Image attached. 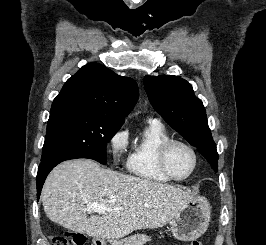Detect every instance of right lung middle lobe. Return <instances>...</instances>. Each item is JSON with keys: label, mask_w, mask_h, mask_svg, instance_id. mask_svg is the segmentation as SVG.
I'll return each mask as SVG.
<instances>
[{"label": "right lung middle lobe", "mask_w": 266, "mask_h": 245, "mask_svg": "<svg viewBox=\"0 0 266 245\" xmlns=\"http://www.w3.org/2000/svg\"><path fill=\"white\" fill-rule=\"evenodd\" d=\"M124 121L89 110L50 116L41 162L55 156L70 155L106 164V144Z\"/></svg>", "instance_id": "obj_1"}]
</instances>
